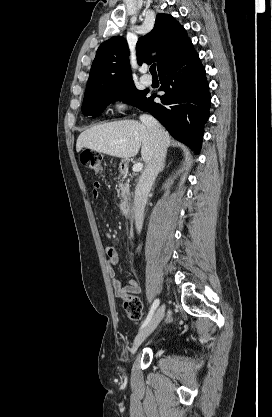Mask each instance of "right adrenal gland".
Instances as JSON below:
<instances>
[{
	"mask_svg": "<svg viewBox=\"0 0 272 417\" xmlns=\"http://www.w3.org/2000/svg\"><path fill=\"white\" fill-rule=\"evenodd\" d=\"M164 168H165V163L163 164V166H162V168H161V171H163V170H164Z\"/></svg>",
	"mask_w": 272,
	"mask_h": 417,
	"instance_id": "1",
	"label": "right adrenal gland"
}]
</instances>
